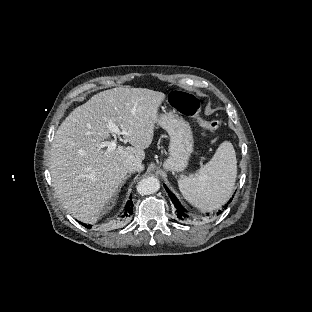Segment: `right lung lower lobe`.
Segmentation results:
<instances>
[{
    "instance_id": "obj_1",
    "label": "right lung lower lobe",
    "mask_w": 312,
    "mask_h": 312,
    "mask_svg": "<svg viewBox=\"0 0 312 312\" xmlns=\"http://www.w3.org/2000/svg\"><path fill=\"white\" fill-rule=\"evenodd\" d=\"M132 210H133V203H132L131 200H129V201L127 202L126 206H125L124 212H123V214L121 215V217H122V218H125V217L130 216V215L132 214ZM81 224H82L83 226L89 228V229L91 228L90 225L87 226V225H85V224H83V223H81Z\"/></svg>"
}]
</instances>
